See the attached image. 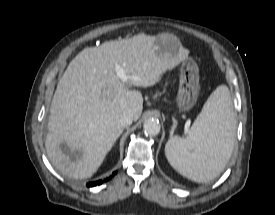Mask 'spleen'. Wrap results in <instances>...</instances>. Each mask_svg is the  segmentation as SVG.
Returning a JSON list of instances; mask_svg holds the SVG:
<instances>
[{
	"label": "spleen",
	"instance_id": "spleen-1",
	"mask_svg": "<svg viewBox=\"0 0 275 215\" xmlns=\"http://www.w3.org/2000/svg\"><path fill=\"white\" fill-rule=\"evenodd\" d=\"M236 121L228 87L218 86L194 121L189 136L165 146L170 165L195 182H208L227 165L234 149Z\"/></svg>",
	"mask_w": 275,
	"mask_h": 215
}]
</instances>
